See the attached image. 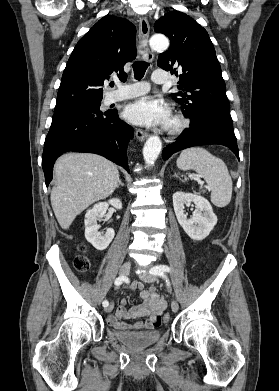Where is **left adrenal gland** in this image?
<instances>
[{
  "label": "left adrenal gland",
  "mask_w": 279,
  "mask_h": 391,
  "mask_svg": "<svg viewBox=\"0 0 279 391\" xmlns=\"http://www.w3.org/2000/svg\"><path fill=\"white\" fill-rule=\"evenodd\" d=\"M174 177H178L177 174H174Z\"/></svg>",
  "instance_id": "1"
}]
</instances>
